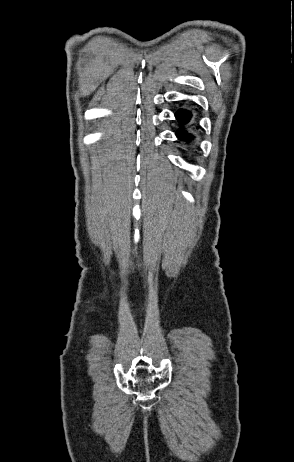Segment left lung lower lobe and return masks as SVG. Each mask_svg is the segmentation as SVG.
Returning a JSON list of instances; mask_svg holds the SVG:
<instances>
[{
	"mask_svg": "<svg viewBox=\"0 0 294 462\" xmlns=\"http://www.w3.org/2000/svg\"><path fill=\"white\" fill-rule=\"evenodd\" d=\"M176 118L179 120L180 124L184 125L186 124L190 118H191V113L187 110H178L177 113H176ZM177 137L181 140H186V139H189L190 138V135L187 134L185 131L183 130H179L177 132Z\"/></svg>",
	"mask_w": 294,
	"mask_h": 462,
	"instance_id": "obj_1",
	"label": "left lung lower lobe"
}]
</instances>
